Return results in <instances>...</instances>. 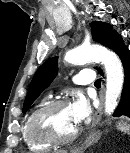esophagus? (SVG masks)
I'll return each instance as SVG.
<instances>
[{"instance_id":"obj_1","label":"esophagus","mask_w":130,"mask_h":153,"mask_svg":"<svg viewBox=\"0 0 130 153\" xmlns=\"http://www.w3.org/2000/svg\"><path fill=\"white\" fill-rule=\"evenodd\" d=\"M103 107H104V90H102L100 93V105L95 113V116L92 122V127H95L100 121L101 116H102Z\"/></svg>"}]
</instances>
